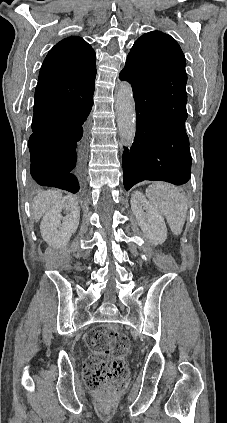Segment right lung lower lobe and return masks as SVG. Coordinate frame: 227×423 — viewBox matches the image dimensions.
I'll return each instance as SVG.
<instances>
[{"instance_id":"98d812e1","label":"right lung lower lobe","mask_w":227,"mask_h":423,"mask_svg":"<svg viewBox=\"0 0 227 423\" xmlns=\"http://www.w3.org/2000/svg\"><path fill=\"white\" fill-rule=\"evenodd\" d=\"M93 106V95L62 101L35 98L28 142L30 173L40 186L56 187L72 193L79 191L87 152L85 121Z\"/></svg>"}]
</instances>
